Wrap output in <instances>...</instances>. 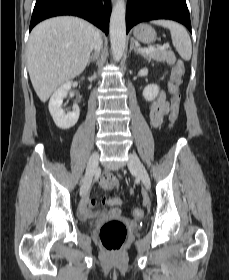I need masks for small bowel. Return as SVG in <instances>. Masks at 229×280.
Returning a JSON list of instances; mask_svg holds the SVG:
<instances>
[{
  "label": "small bowel",
  "instance_id": "small-bowel-1",
  "mask_svg": "<svg viewBox=\"0 0 229 280\" xmlns=\"http://www.w3.org/2000/svg\"><path fill=\"white\" fill-rule=\"evenodd\" d=\"M169 112V103L166 100L165 94L159 92L155 101L150 105L149 119L153 127H158L161 125L163 118ZM116 184L113 188H118ZM119 197H106L104 198L105 204L109 206L108 209L98 212L102 216H113L119 217L121 215V210L119 205L115 203ZM94 203L89 199V189L81 195V200L77 208V213L81 218H88L93 214Z\"/></svg>",
  "mask_w": 229,
  "mask_h": 280
}]
</instances>
